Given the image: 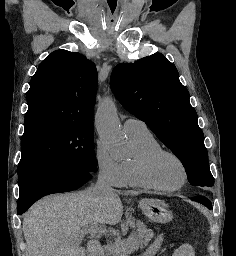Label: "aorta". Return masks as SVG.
I'll return each instance as SVG.
<instances>
[{
	"mask_svg": "<svg viewBox=\"0 0 236 256\" xmlns=\"http://www.w3.org/2000/svg\"><path fill=\"white\" fill-rule=\"evenodd\" d=\"M95 125L100 139L107 145L117 147L125 143V135L121 129L116 105L112 98L103 100L98 107Z\"/></svg>",
	"mask_w": 236,
	"mask_h": 256,
	"instance_id": "1",
	"label": "aorta"
}]
</instances>
